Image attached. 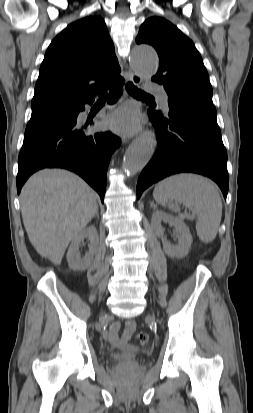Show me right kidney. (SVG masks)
I'll list each match as a JSON object with an SVG mask.
<instances>
[{
  "label": "right kidney",
  "instance_id": "right-kidney-1",
  "mask_svg": "<svg viewBox=\"0 0 253 413\" xmlns=\"http://www.w3.org/2000/svg\"><path fill=\"white\" fill-rule=\"evenodd\" d=\"M88 239L90 241L89 250L83 258H81L79 246ZM99 244L98 233L95 226H89L82 230L73 240L67 252V262L70 269L75 271H84L92 263Z\"/></svg>",
  "mask_w": 253,
  "mask_h": 413
}]
</instances>
